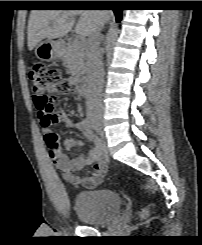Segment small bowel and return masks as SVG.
I'll return each instance as SVG.
<instances>
[{
  "label": "small bowel",
  "instance_id": "obj_1",
  "mask_svg": "<svg viewBox=\"0 0 202 245\" xmlns=\"http://www.w3.org/2000/svg\"><path fill=\"white\" fill-rule=\"evenodd\" d=\"M76 112H81L80 105L77 106ZM54 113L58 122L64 123L67 127H73L76 125L86 137L91 138V134L83 128L81 123L82 121L75 124L73 121L68 119L66 113L60 109L54 111ZM40 126L44 142L48 149L55 143L59 146L60 136L51 130V125H45L40 121ZM63 146L71 150L75 147L84 146V142L78 139L68 138L63 140ZM51 159L65 180L71 184L82 185L88 189L97 186L102 181L106 170L105 164L101 159L100 149L97 146L91 148L87 156L75 154L72 158L68 154L62 152L59 147L57 155L51 156ZM86 165L91 166V169L84 175H77L76 172L80 171Z\"/></svg>",
  "mask_w": 202,
  "mask_h": 245
}]
</instances>
